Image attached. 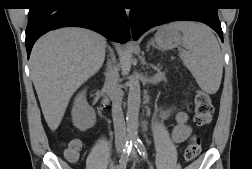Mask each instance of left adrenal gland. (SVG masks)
Wrapping results in <instances>:
<instances>
[{"label": "left adrenal gland", "mask_w": 252, "mask_h": 169, "mask_svg": "<svg viewBox=\"0 0 252 169\" xmlns=\"http://www.w3.org/2000/svg\"><path fill=\"white\" fill-rule=\"evenodd\" d=\"M150 45L153 46V47H155V48H158V47L155 45L153 39L149 42V44H148V49H149V46H150Z\"/></svg>", "instance_id": "obj_1"}]
</instances>
